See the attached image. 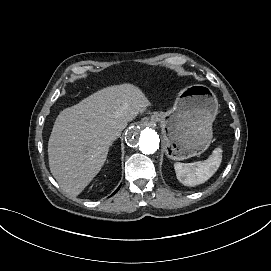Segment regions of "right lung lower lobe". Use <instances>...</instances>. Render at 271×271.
Here are the masks:
<instances>
[{"label":"right lung lower lobe","instance_id":"right-lung-lower-lobe-1","mask_svg":"<svg viewBox=\"0 0 271 271\" xmlns=\"http://www.w3.org/2000/svg\"><path fill=\"white\" fill-rule=\"evenodd\" d=\"M120 188V187H119ZM119 188L114 192V194L119 190Z\"/></svg>","mask_w":271,"mask_h":271}]
</instances>
